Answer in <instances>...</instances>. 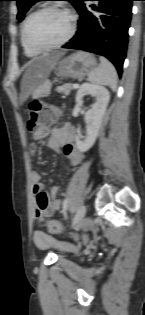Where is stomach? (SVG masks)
<instances>
[{
    "label": "stomach",
    "instance_id": "1",
    "mask_svg": "<svg viewBox=\"0 0 145 315\" xmlns=\"http://www.w3.org/2000/svg\"><path fill=\"white\" fill-rule=\"evenodd\" d=\"M96 65V59L92 54L78 51L58 61L55 70L62 77L78 79L88 76L96 69Z\"/></svg>",
    "mask_w": 145,
    "mask_h": 315
}]
</instances>
